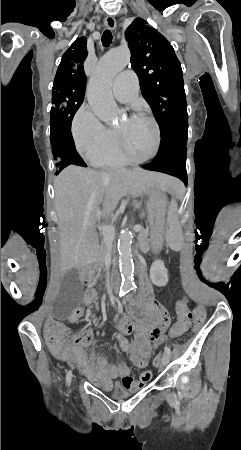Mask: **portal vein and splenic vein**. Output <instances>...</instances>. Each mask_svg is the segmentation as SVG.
<instances>
[{"instance_id":"1","label":"portal vein and splenic vein","mask_w":241,"mask_h":450,"mask_svg":"<svg viewBox=\"0 0 241 450\" xmlns=\"http://www.w3.org/2000/svg\"><path fill=\"white\" fill-rule=\"evenodd\" d=\"M140 224V223H139ZM100 230L104 236V240H109V242H113L115 236V228L111 226H100ZM133 231H141L142 227L138 225H134L132 227Z\"/></svg>"}]
</instances>
